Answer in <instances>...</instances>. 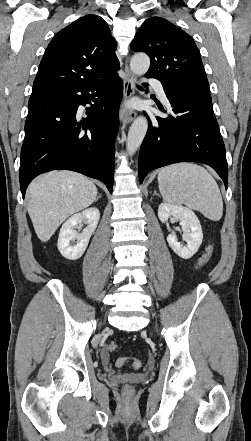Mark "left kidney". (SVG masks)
<instances>
[{
	"instance_id": "5707ae66",
	"label": "left kidney",
	"mask_w": 251,
	"mask_h": 441,
	"mask_svg": "<svg viewBox=\"0 0 251 441\" xmlns=\"http://www.w3.org/2000/svg\"><path fill=\"white\" fill-rule=\"evenodd\" d=\"M158 217L162 223H165L171 217L180 221L183 229L182 238L187 244L185 246L181 245L175 234H169L167 242L179 257L183 259L191 258L198 251L203 240L202 228L196 214L191 209L181 205L162 203L158 208Z\"/></svg>"
}]
</instances>
